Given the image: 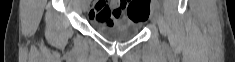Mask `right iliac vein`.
Here are the masks:
<instances>
[{
	"mask_svg": "<svg viewBox=\"0 0 235 62\" xmlns=\"http://www.w3.org/2000/svg\"><path fill=\"white\" fill-rule=\"evenodd\" d=\"M88 7H89L88 3H83L82 8L84 12L88 10Z\"/></svg>",
	"mask_w": 235,
	"mask_h": 62,
	"instance_id": "1",
	"label": "right iliac vein"
}]
</instances>
